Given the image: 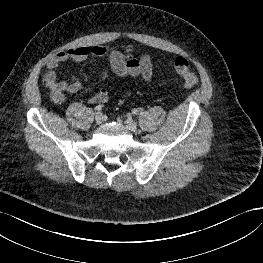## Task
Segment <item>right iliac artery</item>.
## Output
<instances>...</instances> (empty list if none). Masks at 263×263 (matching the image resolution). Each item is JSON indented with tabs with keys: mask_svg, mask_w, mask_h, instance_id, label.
<instances>
[{
	"mask_svg": "<svg viewBox=\"0 0 263 263\" xmlns=\"http://www.w3.org/2000/svg\"><path fill=\"white\" fill-rule=\"evenodd\" d=\"M102 107H103L102 105H98L95 107V110L100 112L102 110Z\"/></svg>",
	"mask_w": 263,
	"mask_h": 263,
	"instance_id": "82829eb1",
	"label": "right iliac artery"
}]
</instances>
